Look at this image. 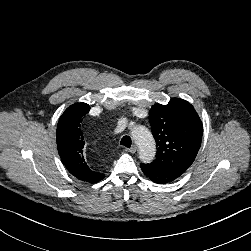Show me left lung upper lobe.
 <instances>
[{"label": "left lung upper lobe", "instance_id": "5c2ea615", "mask_svg": "<svg viewBox=\"0 0 251 251\" xmlns=\"http://www.w3.org/2000/svg\"><path fill=\"white\" fill-rule=\"evenodd\" d=\"M149 122L158 151L151 166L183 174L201 145L202 122L193 106L180 98L167 105L155 104Z\"/></svg>", "mask_w": 251, "mask_h": 251}]
</instances>
